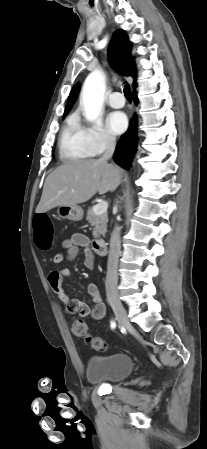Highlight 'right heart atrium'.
Listing matches in <instances>:
<instances>
[{
    "instance_id": "obj_1",
    "label": "right heart atrium",
    "mask_w": 207,
    "mask_h": 449,
    "mask_svg": "<svg viewBox=\"0 0 207 449\" xmlns=\"http://www.w3.org/2000/svg\"><path fill=\"white\" fill-rule=\"evenodd\" d=\"M82 129L86 143L93 155H100L116 144V138L101 125H87Z\"/></svg>"
}]
</instances>
